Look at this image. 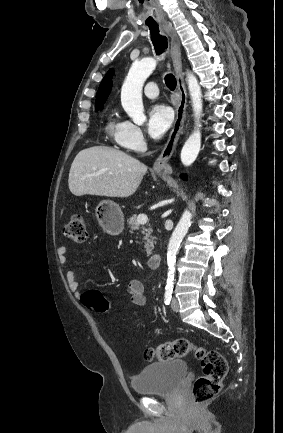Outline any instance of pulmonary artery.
Segmentation results:
<instances>
[{
	"label": "pulmonary artery",
	"mask_w": 283,
	"mask_h": 433,
	"mask_svg": "<svg viewBox=\"0 0 283 433\" xmlns=\"http://www.w3.org/2000/svg\"><path fill=\"white\" fill-rule=\"evenodd\" d=\"M144 93L148 98H156L160 95V90L156 88V83L150 81L144 86Z\"/></svg>",
	"instance_id": "pulmonary-artery-1"
}]
</instances>
